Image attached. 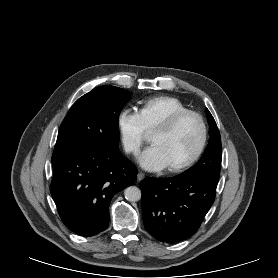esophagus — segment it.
Returning a JSON list of instances; mask_svg holds the SVG:
<instances>
[{
	"label": "esophagus",
	"mask_w": 278,
	"mask_h": 278,
	"mask_svg": "<svg viewBox=\"0 0 278 278\" xmlns=\"http://www.w3.org/2000/svg\"><path fill=\"white\" fill-rule=\"evenodd\" d=\"M144 178H145L144 173L139 172V173L137 174V180H138V181H141V180H143Z\"/></svg>",
	"instance_id": "1"
}]
</instances>
